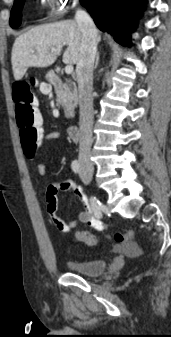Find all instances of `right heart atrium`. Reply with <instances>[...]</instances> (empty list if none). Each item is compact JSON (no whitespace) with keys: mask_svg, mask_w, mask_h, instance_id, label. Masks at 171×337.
Masks as SVG:
<instances>
[{"mask_svg":"<svg viewBox=\"0 0 171 337\" xmlns=\"http://www.w3.org/2000/svg\"><path fill=\"white\" fill-rule=\"evenodd\" d=\"M76 3L77 0H43L44 6L55 16L62 15L68 8Z\"/></svg>","mask_w":171,"mask_h":337,"instance_id":"1","label":"right heart atrium"}]
</instances>
